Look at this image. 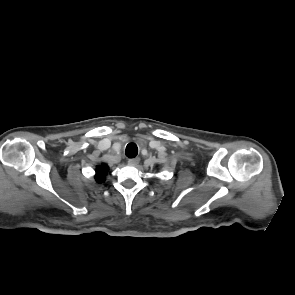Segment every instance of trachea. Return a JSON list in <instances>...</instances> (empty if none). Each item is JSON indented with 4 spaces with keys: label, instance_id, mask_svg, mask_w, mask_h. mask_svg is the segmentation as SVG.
<instances>
[{
    "label": "trachea",
    "instance_id": "obj_1",
    "mask_svg": "<svg viewBox=\"0 0 295 295\" xmlns=\"http://www.w3.org/2000/svg\"><path fill=\"white\" fill-rule=\"evenodd\" d=\"M125 154L128 158H135L138 154V148L135 143H129L126 146Z\"/></svg>",
    "mask_w": 295,
    "mask_h": 295
}]
</instances>
